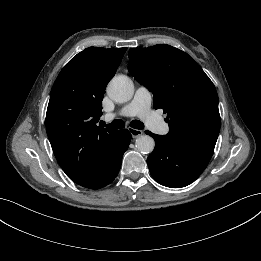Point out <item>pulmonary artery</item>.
<instances>
[{
	"label": "pulmonary artery",
	"instance_id": "pulmonary-artery-1",
	"mask_svg": "<svg viewBox=\"0 0 261 261\" xmlns=\"http://www.w3.org/2000/svg\"><path fill=\"white\" fill-rule=\"evenodd\" d=\"M152 95L151 92L144 86L137 88L132 101L123 106L119 112L107 114V119H113L116 116L140 117L145 124L161 134H165L168 131L167 125L155 115L151 109Z\"/></svg>",
	"mask_w": 261,
	"mask_h": 261
}]
</instances>
